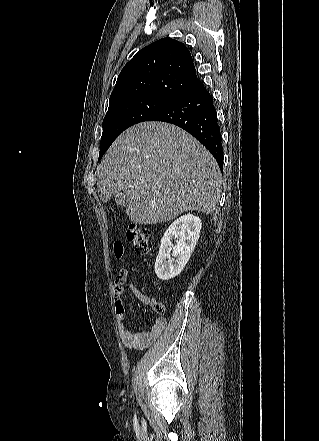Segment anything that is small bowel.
Returning a JSON list of instances; mask_svg holds the SVG:
<instances>
[{"mask_svg": "<svg viewBox=\"0 0 319 441\" xmlns=\"http://www.w3.org/2000/svg\"><path fill=\"white\" fill-rule=\"evenodd\" d=\"M114 255L116 258H121L123 255V246L116 243L114 247ZM128 284L133 296L140 302L148 306H156V299L146 295L136 285L128 280V273L126 269H120L116 274V280L113 287L114 307L117 320V330L119 337L126 347L141 350L151 346L162 335L166 320L164 318H157L153 325L146 331L132 332L125 319V304L123 300L124 286Z\"/></svg>", "mask_w": 319, "mask_h": 441, "instance_id": "small-bowel-1", "label": "small bowel"}]
</instances>
